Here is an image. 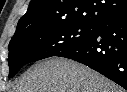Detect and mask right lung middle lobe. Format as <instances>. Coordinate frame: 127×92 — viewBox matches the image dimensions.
<instances>
[{
  "label": "right lung middle lobe",
  "mask_w": 127,
  "mask_h": 92,
  "mask_svg": "<svg viewBox=\"0 0 127 92\" xmlns=\"http://www.w3.org/2000/svg\"><path fill=\"white\" fill-rule=\"evenodd\" d=\"M94 28L89 24L39 27L12 38L8 47L9 78L30 62L56 56L88 39Z\"/></svg>",
  "instance_id": "1"
}]
</instances>
